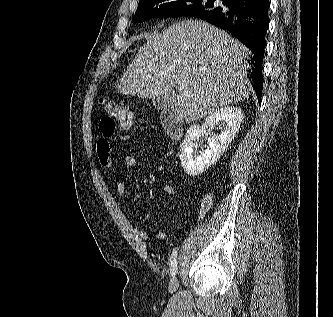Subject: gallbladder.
<instances>
[{
    "mask_svg": "<svg viewBox=\"0 0 333 317\" xmlns=\"http://www.w3.org/2000/svg\"><path fill=\"white\" fill-rule=\"evenodd\" d=\"M152 104L158 110H165L170 107L171 98L169 96H158L152 99Z\"/></svg>",
    "mask_w": 333,
    "mask_h": 317,
    "instance_id": "gallbladder-1",
    "label": "gallbladder"
}]
</instances>
